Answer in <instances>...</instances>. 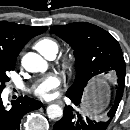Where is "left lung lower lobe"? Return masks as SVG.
I'll return each instance as SVG.
<instances>
[{
	"instance_id": "left-lung-lower-lobe-1",
	"label": "left lung lower lobe",
	"mask_w": 130,
	"mask_h": 130,
	"mask_svg": "<svg viewBox=\"0 0 130 130\" xmlns=\"http://www.w3.org/2000/svg\"><path fill=\"white\" fill-rule=\"evenodd\" d=\"M70 99L76 106L81 102L80 98ZM118 105L119 102L114 101L105 120L99 122L90 120L88 117H86V119L82 118L81 114L75 112L71 106H65L64 115L62 119L54 125L53 130H105L114 117Z\"/></svg>"
}]
</instances>
